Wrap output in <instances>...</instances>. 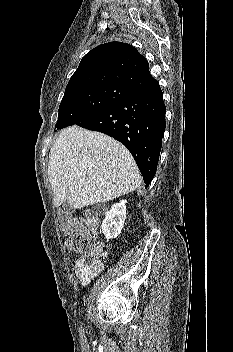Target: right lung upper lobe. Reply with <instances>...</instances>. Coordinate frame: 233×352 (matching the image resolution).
<instances>
[{
    "label": "right lung upper lobe",
    "instance_id": "right-lung-upper-lobe-1",
    "mask_svg": "<svg viewBox=\"0 0 233 352\" xmlns=\"http://www.w3.org/2000/svg\"><path fill=\"white\" fill-rule=\"evenodd\" d=\"M149 64L135 47L122 42L101 44L88 52L70 78L65 93L98 85L115 84L142 90L156 83Z\"/></svg>",
    "mask_w": 233,
    "mask_h": 352
}]
</instances>
